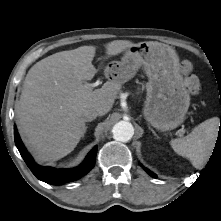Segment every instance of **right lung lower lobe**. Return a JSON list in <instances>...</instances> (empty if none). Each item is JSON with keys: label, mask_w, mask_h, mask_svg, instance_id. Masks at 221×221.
<instances>
[{"label": "right lung lower lobe", "mask_w": 221, "mask_h": 221, "mask_svg": "<svg viewBox=\"0 0 221 221\" xmlns=\"http://www.w3.org/2000/svg\"><path fill=\"white\" fill-rule=\"evenodd\" d=\"M15 144L32 173L41 181L48 184L61 185L63 183L75 181L89 172L96 160L97 147L95 146L85 158L84 162L73 169H56L53 167H42L37 165L31 155L26 151L20 136L14 127Z\"/></svg>", "instance_id": "right-lung-lower-lobe-1"}]
</instances>
